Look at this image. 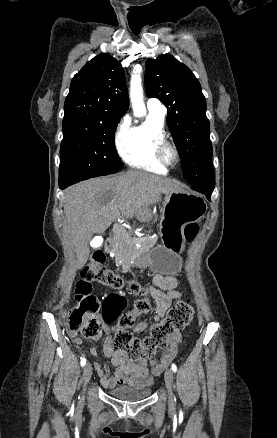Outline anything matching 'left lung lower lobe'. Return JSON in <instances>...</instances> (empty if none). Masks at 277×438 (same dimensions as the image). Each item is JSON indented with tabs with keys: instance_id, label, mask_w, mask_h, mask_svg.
<instances>
[{
	"instance_id": "1",
	"label": "left lung lower lobe",
	"mask_w": 277,
	"mask_h": 438,
	"mask_svg": "<svg viewBox=\"0 0 277 438\" xmlns=\"http://www.w3.org/2000/svg\"><path fill=\"white\" fill-rule=\"evenodd\" d=\"M195 191H198L200 193H203L208 199L210 198L213 190H208V189H202V188H192Z\"/></svg>"
}]
</instances>
